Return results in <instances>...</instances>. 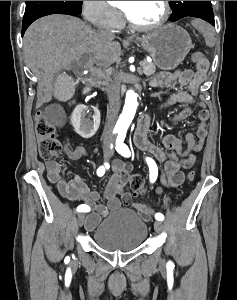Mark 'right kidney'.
<instances>
[{
	"label": "right kidney",
	"mask_w": 237,
	"mask_h": 300,
	"mask_svg": "<svg viewBox=\"0 0 237 300\" xmlns=\"http://www.w3.org/2000/svg\"><path fill=\"white\" fill-rule=\"evenodd\" d=\"M100 111L97 107H86L77 105L71 115V123L80 137L91 139L99 129Z\"/></svg>",
	"instance_id": "1"
}]
</instances>
